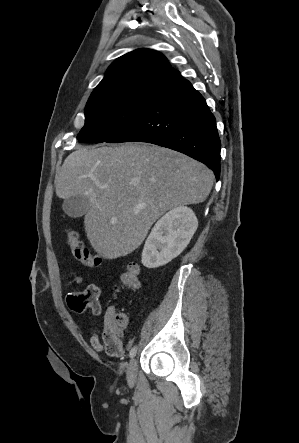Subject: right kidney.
<instances>
[{
    "label": "right kidney",
    "instance_id": "obj_1",
    "mask_svg": "<svg viewBox=\"0 0 299 443\" xmlns=\"http://www.w3.org/2000/svg\"><path fill=\"white\" fill-rule=\"evenodd\" d=\"M198 227L194 212L179 206L162 216L152 228L143 248L142 264L157 268L176 258L189 244Z\"/></svg>",
    "mask_w": 299,
    "mask_h": 443
}]
</instances>
